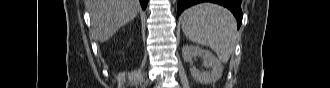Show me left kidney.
Returning <instances> with one entry per match:
<instances>
[{"mask_svg": "<svg viewBox=\"0 0 330 88\" xmlns=\"http://www.w3.org/2000/svg\"><path fill=\"white\" fill-rule=\"evenodd\" d=\"M182 56L186 62H192L194 57L199 56L203 59V66L212 69L211 72H208L199 71L195 67H191V75L197 82L202 84H212L222 76L223 65L210 51L194 45H185L182 49Z\"/></svg>", "mask_w": 330, "mask_h": 88, "instance_id": "1", "label": "left kidney"}]
</instances>
